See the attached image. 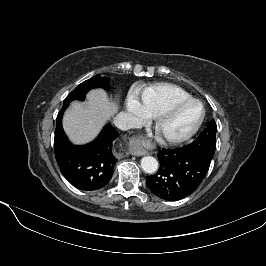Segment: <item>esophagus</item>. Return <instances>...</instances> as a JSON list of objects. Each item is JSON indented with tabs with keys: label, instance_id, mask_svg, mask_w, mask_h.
<instances>
[{
	"label": "esophagus",
	"instance_id": "esophagus-1",
	"mask_svg": "<svg viewBox=\"0 0 266 266\" xmlns=\"http://www.w3.org/2000/svg\"><path fill=\"white\" fill-rule=\"evenodd\" d=\"M130 153L133 156H142L147 154L148 152L143 149L141 146V141L139 139H132L130 141Z\"/></svg>",
	"mask_w": 266,
	"mask_h": 266
}]
</instances>
